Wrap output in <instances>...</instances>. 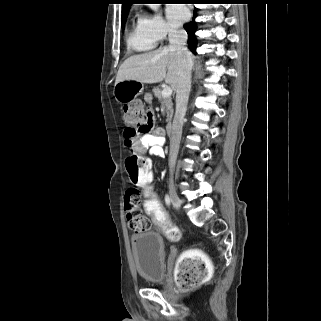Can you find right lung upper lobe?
<instances>
[{
	"mask_svg": "<svg viewBox=\"0 0 321 321\" xmlns=\"http://www.w3.org/2000/svg\"><path fill=\"white\" fill-rule=\"evenodd\" d=\"M122 14L128 13L131 4L134 3L135 0H122Z\"/></svg>",
	"mask_w": 321,
	"mask_h": 321,
	"instance_id": "obj_1",
	"label": "right lung upper lobe"
}]
</instances>
